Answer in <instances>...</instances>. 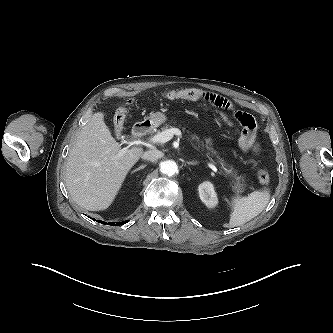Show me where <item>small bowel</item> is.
<instances>
[{"instance_id": "c3829d8e", "label": "small bowel", "mask_w": 333, "mask_h": 333, "mask_svg": "<svg viewBox=\"0 0 333 333\" xmlns=\"http://www.w3.org/2000/svg\"><path fill=\"white\" fill-rule=\"evenodd\" d=\"M200 94V98L197 99L203 103L209 104L212 107L218 110H226L230 112L233 117L241 124L243 127L241 136L239 138V146L243 150H255L256 142H255V120L253 116L249 113L239 110L235 107V105L226 97L221 96L219 94L204 91L201 89H195ZM196 101V100H195Z\"/></svg>"}]
</instances>
